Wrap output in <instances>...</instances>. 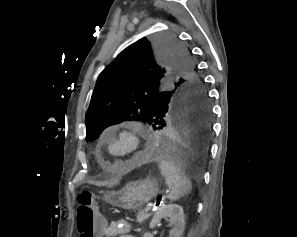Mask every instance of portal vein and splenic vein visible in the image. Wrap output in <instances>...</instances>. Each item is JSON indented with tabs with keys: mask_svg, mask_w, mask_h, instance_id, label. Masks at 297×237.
<instances>
[{
	"mask_svg": "<svg viewBox=\"0 0 297 237\" xmlns=\"http://www.w3.org/2000/svg\"><path fill=\"white\" fill-rule=\"evenodd\" d=\"M151 207H152V204L149 203V204L146 206V209H145V210H146V211H149V210H151Z\"/></svg>",
	"mask_w": 297,
	"mask_h": 237,
	"instance_id": "18ae733b",
	"label": "portal vein and splenic vein"
}]
</instances>
